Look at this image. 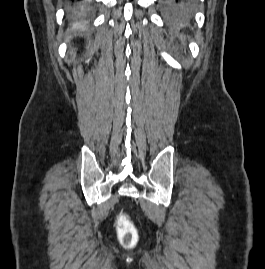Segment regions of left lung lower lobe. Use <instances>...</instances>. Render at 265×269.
<instances>
[{
  "mask_svg": "<svg viewBox=\"0 0 265 269\" xmlns=\"http://www.w3.org/2000/svg\"><path fill=\"white\" fill-rule=\"evenodd\" d=\"M195 0H161L162 11L169 19H184L194 11Z\"/></svg>",
  "mask_w": 265,
  "mask_h": 269,
  "instance_id": "1",
  "label": "left lung lower lobe"
}]
</instances>
